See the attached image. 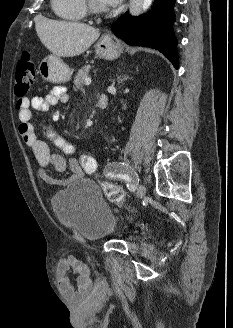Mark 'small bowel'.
Listing matches in <instances>:
<instances>
[{
	"label": "small bowel",
	"mask_w": 233,
	"mask_h": 328,
	"mask_svg": "<svg viewBox=\"0 0 233 328\" xmlns=\"http://www.w3.org/2000/svg\"><path fill=\"white\" fill-rule=\"evenodd\" d=\"M67 100L68 95L64 88L56 86L43 97H19L15 102V108L20 121L18 127L19 134L25 144L32 150L40 165L38 170L39 178L49 185H68L85 175L76 158L70 159L69 163H67L63 156L51 153L48 145L38 139L32 125L34 110L49 111L52 106L58 103H65ZM59 117L60 113L58 111L52 113L54 120H58ZM67 166L72 171V175L65 180L56 179L48 172L49 167H53L57 172H63ZM72 277H74V282ZM58 283L61 294L69 300H81L87 297L93 287L89 268L74 257L65 258L59 263Z\"/></svg>",
	"instance_id": "c3829d8e"
}]
</instances>
